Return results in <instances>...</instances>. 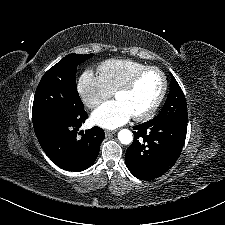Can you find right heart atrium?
Instances as JSON below:
<instances>
[{"label":"right heart atrium","instance_id":"right-heart-atrium-1","mask_svg":"<svg viewBox=\"0 0 225 225\" xmlns=\"http://www.w3.org/2000/svg\"><path fill=\"white\" fill-rule=\"evenodd\" d=\"M77 88L82 101L90 109L98 107L112 95L100 76L89 70L81 74Z\"/></svg>","mask_w":225,"mask_h":225}]
</instances>
